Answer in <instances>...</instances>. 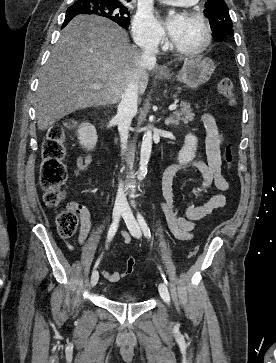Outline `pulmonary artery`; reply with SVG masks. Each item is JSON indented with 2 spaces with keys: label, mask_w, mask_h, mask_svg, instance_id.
<instances>
[{
  "label": "pulmonary artery",
  "mask_w": 276,
  "mask_h": 363,
  "mask_svg": "<svg viewBox=\"0 0 276 363\" xmlns=\"http://www.w3.org/2000/svg\"><path fill=\"white\" fill-rule=\"evenodd\" d=\"M197 0H162L163 3L174 5V6H189L196 2Z\"/></svg>",
  "instance_id": "1"
}]
</instances>
